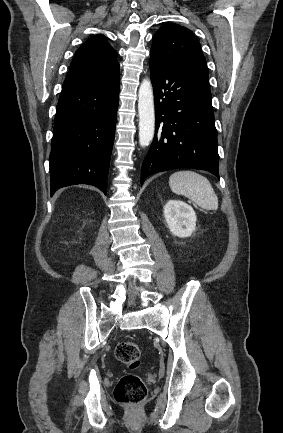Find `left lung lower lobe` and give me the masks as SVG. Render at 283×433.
<instances>
[{
    "label": "left lung lower lobe",
    "mask_w": 283,
    "mask_h": 433,
    "mask_svg": "<svg viewBox=\"0 0 283 433\" xmlns=\"http://www.w3.org/2000/svg\"><path fill=\"white\" fill-rule=\"evenodd\" d=\"M155 138L142 164L149 175L177 168L207 170L219 178L213 110L205 107L204 79L194 70L150 53Z\"/></svg>",
    "instance_id": "1"
}]
</instances>
